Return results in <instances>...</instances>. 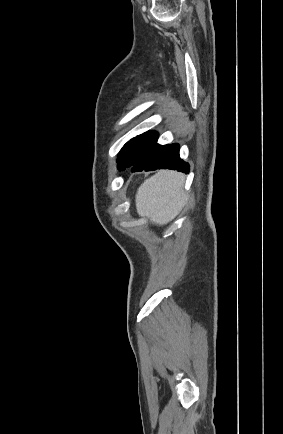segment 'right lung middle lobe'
Instances as JSON below:
<instances>
[{
	"mask_svg": "<svg viewBox=\"0 0 283 434\" xmlns=\"http://www.w3.org/2000/svg\"><path fill=\"white\" fill-rule=\"evenodd\" d=\"M157 139L156 132H146L127 142L120 151L118 169L124 170L134 165L157 142Z\"/></svg>",
	"mask_w": 283,
	"mask_h": 434,
	"instance_id": "obj_1",
	"label": "right lung middle lobe"
}]
</instances>
